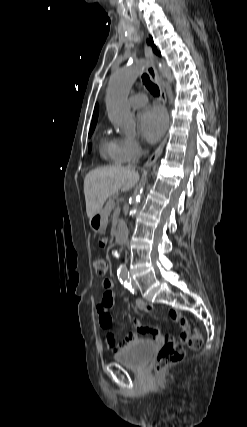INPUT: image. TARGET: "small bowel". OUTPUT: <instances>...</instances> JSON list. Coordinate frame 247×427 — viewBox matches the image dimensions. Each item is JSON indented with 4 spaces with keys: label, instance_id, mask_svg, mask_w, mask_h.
I'll use <instances>...</instances> for the list:
<instances>
[{
    "label": "small bowel",
    "instance_id": "obj_1",
    "mask_svg": "<svg viewBox=\"0 0 247 427\" xmlns=\"http://www.w3.org/2000/svg\"><path fill=\"white\" fill-rule=\"evenodd\" d=\"M98 243L100 247H104L106 242L105 240L101 239ZM102 286L104 289V293L100 304L97 306L98 322L100 327L105 330V342L107 348L109 350L116 351L120 348V345L117 344L114 334L110 331L113 322L110 310L113 309L116 304L115 294L112 290L114 282L111 279H105L102 283ZM136 306L139 310L147 313L150 312L152 309L151 306H149L146 302L142 300H138L136 302ZM169 315L171 319L177 324H179L181 327V340L187 341L190 336V326L186 318L179 311L174 309L169 310ZM133 325L136 331L129 333L125 337L122 343V347H126L136 341L139 333L150 334L152 338L157 342L173 341V337L171 335L163 336L157 328L142 326L141 322L138 319L133 320Z\"/></svg>",
    "mask_w": 247,
    "mask_h": 427
}]
</instances>
